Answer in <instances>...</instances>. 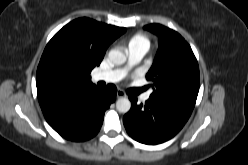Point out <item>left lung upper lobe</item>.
Instances as JSON below:
<instances>
[{
    "label": "left lung upper lobe",
    "instance_id": "5c2ea615",
    "mask_svg": "<svg viewBox=\"0 0 248 165\" xmlns=\"http://www.w3.org/2000/svg\"><path fill=\"white\" fill-rule=\"evenodd\" d=\"M159 36V48L146 75L151 99L193 110L200 83L197 59L184 38L160 24L144 27Z\"/></svg>",
    "mask_w": 248,
    "mask_h": 165
}]
</instances>
